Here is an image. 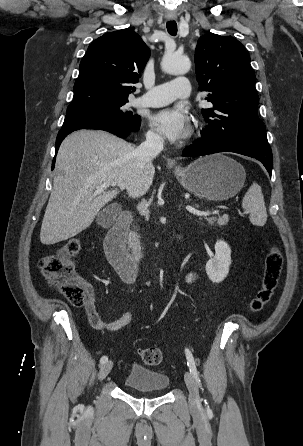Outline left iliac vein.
<instances>
[{"mask_svg": "<svg viewBox=\"0 0 303 446\" xmlns=\"http://www.w3.org/2000/svg\"><path fill=\"white\" fill-rule=\"evenodd\" d=\"M184 380L189 391L190 407L194 412H198L201 410V402H200L198 386L192 374L188 371L185 372L184 374Z\"/></svg>", "mask_w": 303, "mask_h": 446, "instance_id": "obj_1", "label": "left iliac vein"}]
</instances>
